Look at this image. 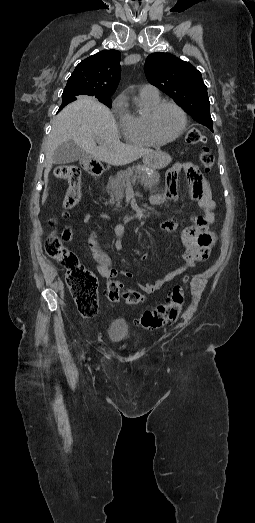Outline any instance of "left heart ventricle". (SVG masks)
Returning <instances> with one entry per match:
<instances>
[{
    "mask_svg": "<svg viewBox=\"0 0 255 523\" xmlns=\"http://www.w3.org/2000/svg\"><path fill=\"white\" fill-rule=\"evenodd\" d=\"M181 124V116L172 106L161 108L154 118L155 132L161 138H170L176 135Z\"/></svg>",
    "mask_w": 255,
    "mask_h": 523,
    "instance_id": "obj_1",
    "label": "left heart ventricle"
}]
</instances>
